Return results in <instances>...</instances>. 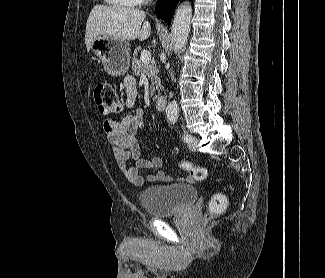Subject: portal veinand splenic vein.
I'll return each instance as SVG.
<instances>
[{"mask_svg": "<svg viewBox=\"0 0 325 278\" xmlns=\"http://www.w3.org/2000/svg\"><path fill=\"white\" fill-rule=\"evenodd\" d=\"M151 61V54L149 51L147 50H143L141 52V62L142 64L146 65V64H149Z\"/></svg>", "mask_w": 325, "mask_h": 278, "instance_id": "1", "label": "portal vein and splenic vein"}]
</instances>
